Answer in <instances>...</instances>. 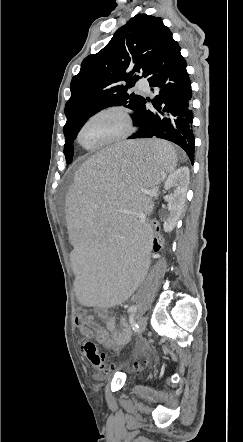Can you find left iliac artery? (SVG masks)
<instances>
[{"label": "left iliac artery", "mask_w": 243, "mask_h": 442, "mask_svg": "<svg viewBox=\"0 0 243 442\" xmlns=\"http://www.w3.org/2000/svg\"><path fill=\"white\" fill-rule=\"evenodd\" d=\"M128 312L131 314V316H134L137 312V306L132 305L128 308ZM133 329L135 330V332H138L139 326L137 324L133 325Z\"/></svg>", "instance_id": "44dca946"}]
</instances>
